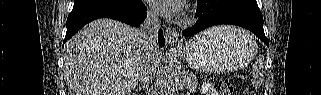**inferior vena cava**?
Instances as JSON below:
<instances>
[{"mask_svg":"<svg viewBox=\"0 0 321 95\" xmlns=\"http://www.w3.org/2000/svg\"><path fill=\"white\" fill-rule=\"evenodd\" d=\"M159 29V20L156 13L148 11L147 17L142 24L140 34L145 47L148 50L147 60L140 74V81L144 84H149L155 68L153 66V59L155 51L158 49L157 33Z\"/></svg>","mask_w":321,"mask_h":95,"instance_id":"inferior-vena-cava-1","label":"inferior vena cava"}]
</instances>
